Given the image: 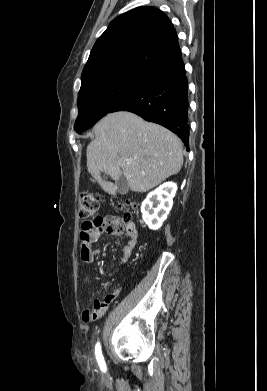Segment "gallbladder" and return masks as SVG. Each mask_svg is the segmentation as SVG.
I'll return each mask as SVG.
<instances>
[{
    "label": "gallbladder",
    "instance_id": "obj_1",
    "mask_svg": "<svg viewBox=\"0 0 267 391\" xmlns=\"http://www.w3.org/2000/svg\"><path fill=\"white\" fill-rule=\"evenodd\" d=\"M115 185L118 193H120L121 195H125L128 193L129 191L128 182L123 174L116 181Z\"/></svg>",
    "mask_w": 267,
    "mask_h": 391
}]
</instances>
